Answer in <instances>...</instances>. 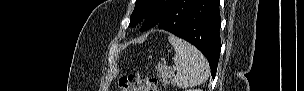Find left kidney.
<instances>
[{
  "label": "left kidney",
  "instance_id": "left-kidney-1",
  "mask_svg": "<svg viewBox=\"0 0 304 91\" xmlns=\"http://www.w3.org/2000/svg\"><path fill=\"white\" fill-rule=\"evenodd\" d=\"M188 91H201V90H198V89H193V90H188Z\"/></svg>",
  "mask_w": 304,
  "mask_h": 91
}]
</instances>
